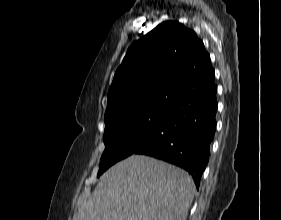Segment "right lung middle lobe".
I'll return each instance as SVG.
<instances>
[{"mask_svg": "<svg viewBox=\"0 0 281 220\" xmlns=\"http://www.w3.org/2000/svg\"><path fill=\"white\" fill-rule=\"evenodd\" d=\"M166 111H152L123 116L105 125V151L98 177L110 166L133 154L163 125Z\"/></svg>", "mask_w": 281, "mask_h": 220, "instance_id": "dd1d6c3e", "label": "right lung middle lobe"}]
</instances>
